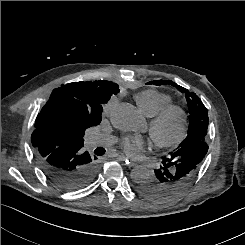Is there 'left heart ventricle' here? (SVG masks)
I'll use <instances>...</instances> for the list:
<instances>
[{"mask_svg":"<svg viewBox=\"0 0 245 245\" xmlns=\"http://www.w3.org/2000/svg\"><path fill=\"white\" fill-rule=\"evenodd\" d=\"M179 132V119L177 116L168 118L158 130V135L163 139L174 138Z\"/></svg>","mask_w":245,"mask_h":245,"instance_id":"b2bd125f","label":"left heart ventricle"}]
</instances>
